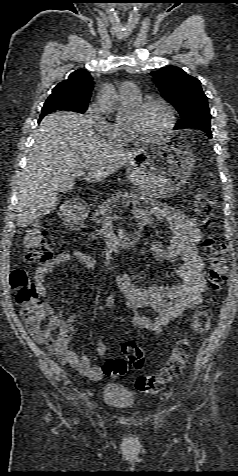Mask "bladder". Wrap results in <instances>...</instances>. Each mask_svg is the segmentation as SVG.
<instances>
[{
  "instance_id": "obj_1",
  "label": "bladder",
  "mask_w": 238,
  "mask_h": 476,
  "mask_svg": "<svg viewBox=\"0 0 238 476\" xmlns=\"http://www.w3.org/2000/svg\"><path fill=\"white\" fill-rule=\"evenodd\" d=\"M103 401L114 408L125 409L134 404V394L125 387L118 384H108L102 391Z\"/></svg>"
}]
</instances>
